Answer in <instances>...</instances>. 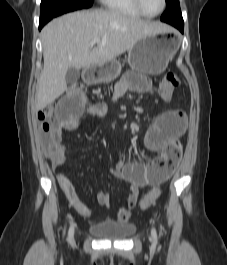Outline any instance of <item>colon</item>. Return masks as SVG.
<instances>
[{
	"label": "colon",
	"mask_w": 227,
	"mask_h": 265,
	"mask_svg": "<svg viewBox=\"0 0 227 265\" xmlns=\"http://www.w3.org/2000/svg\"><path fill=\"white\" fill-rule=\"evenodd\" d=\"M182 85V80L175 72H168L165 74L160 84V95L164 100H170L175 89ZM71 87H81V91H84V87L81 84H74ZM70 91V88L68 89ZM55 111V105H49L42 109L38 118L41 122L42 128L45 132L49 133L51 129V120ZM48 137L44 141V145L47 144ZM181 156V149L172 148L167 150L163 155L158 157L159 166L167 173H172L176 168ZM161 194L159 186L153 187L140 201V207L145 209L152 206Z\"/></svg>",
	"instance_id": "5ec220e1"
}]
</instances>
